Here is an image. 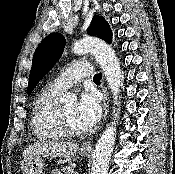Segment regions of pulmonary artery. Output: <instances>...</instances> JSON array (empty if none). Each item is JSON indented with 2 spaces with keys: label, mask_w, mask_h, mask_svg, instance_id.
I'll use <instances>...</instances> for the list:
<instances>
[{
  "label": "pulmonary artery",
  "mask_w": 175,
  "mask_h": 174,
  "mask_svg": "<svg viewBox=\"0 0 175 174\" xmlns=\"http://www.w3.org/2000/svg\"><path fill=\"white\" fill-rule=\"evenodd\" d=\"M93 74V67L87 61L76 62L71 65L64 73L55 78L49 88L62 92L71 86L80 82L83 78L89 77Z\"/></svg>",
  "instance_id": "e3ab8cb5"
}]
</instances>
